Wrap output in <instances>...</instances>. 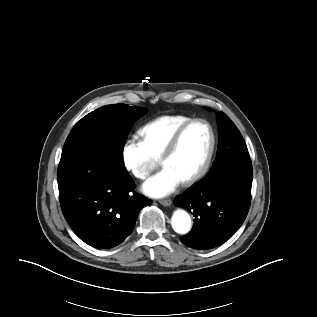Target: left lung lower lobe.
<instances>
[{"instance_id":"0a47b994","label":"left lung lower lobe","mask_w":317,"mask_h":317,"mask_svg":"<svg viewBox=\"0 0 317 317\" xmlns=\"http://www.w3.org/2000/svg\"><path fill=\"white\" fill-rule=\"evenodd\" d=\"M252 169L231 168L216 178H204L174 203L193 214L192 230L180 239L196 249H212L243 224L251 202Z\"/></svg>"}]
</instances>
